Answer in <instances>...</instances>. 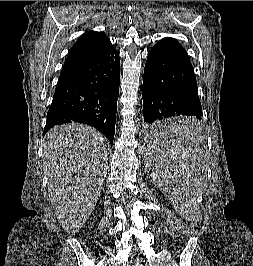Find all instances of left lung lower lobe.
<instances>
[{"mask_svg":"<svg viewBox=\"0 0 253 266\" xmlns=\"http://www.w3.org/2000/svg\"><path fill=\"white\" fill-rule=\"evenodd\" d=\"M144 122L149 140L193 136L202 116L194 69L186 50L170 37L158 41L149 52L143 77ZM192 116L168 122L172 116Z\"/></svg>","mask_w":253,"mask_h":266,"instance_id":"obj_1","label":"left lung lower lobe"}]
</instances>
